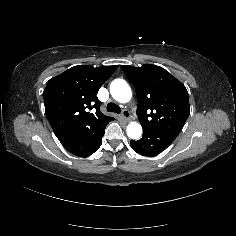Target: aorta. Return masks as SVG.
<instances>
[{
  "label": "aorta",
  "mask_w": 236,
  "mask_h": 236,
  "mask_svg": "<svg viewBox=\"0 0 236 236\" xmlns=\"http://www.w3.org/2000/svg\"><path fill=\"white\" fill-rule=\"evenodd\" d=\"M110 93L120 103H127L132 97L131 88L124 80H120L117 84L111 83ZM126 132L129 138L138 139L142 135V126L137 122H131L128 124Z\"/></svg>",
  "instance_id": "1"
}]
</instances>
